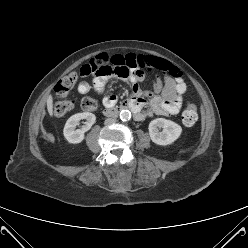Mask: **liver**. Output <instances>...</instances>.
<instances>
[{"instance_id":"1","label":"liver","mask_w":248,"mask_h":248,"mask_svg":"<svg viewBox=\"0 0 248 248\" xmlns=\"http://www.w3.org/2000/svg\"><path fill=\"white\" fill-rule=\"evenodd\" d=\"M47 109L50 116H53V98L51 95L47 99Z\"/></svg>"}]
</instances>
